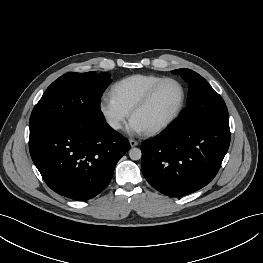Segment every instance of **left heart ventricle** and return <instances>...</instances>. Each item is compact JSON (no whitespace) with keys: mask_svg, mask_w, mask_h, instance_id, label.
Instances as JSON below:
<instances>
[{"mask_svg":"<svg viewBox=\"0 0 263 263\" xmlns=\"http://www.w3.org/2000/svg\"><path fill=\"white\" fill-rule=\"evenodd\" d=\"M180 100V87L174 82H166L156 91L148 105L133 116V119L144 131L153 128L175 112Z\"/></svg>","mask_w":263,"mask_h":263,"instance_id":"b2bd125f","label":"left heart ventricle"}]
</instances>
